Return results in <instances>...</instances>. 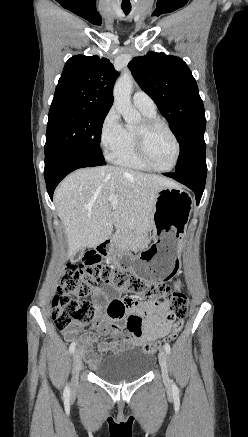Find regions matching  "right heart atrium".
<instances>
[{
	"label": "right heart atrium",
	"instance_id": "right-heart-atrium-1",
	"mask_svg": "<svg viewBox=\"0 0 248 437\" xmlns=\"http://www.w3.org/2000/svg\"><path fill=\"white\" fill-rule=\"evenodd\" d=\"M100 145L109 159H113L125 141V128L115 108L105 115L100 127Z\"/></svg>",
	"mask_w": 248,
	"mask_h": 437
}]
</instances>
